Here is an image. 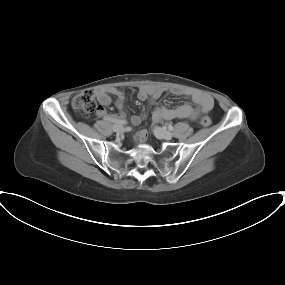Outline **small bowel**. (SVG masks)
Returning a JSON list of instances; mask_svg holds the SVG:
<instances>
[{
  "label": "small bowel",
  "mask_w": 285,
  "mask_h": 285,
  "mask_svg": "<svg viewBox=\"0 0 285 285\" xmlns=\"http://www.w3.org/2000/svg\"><path fill=\"white\" fill-rule=\"evenodd\" d=\"M163 87L155 86H141L137 92V98L140 101H149L150 104L156 103L162 94L165 92ZM95 95L102 105L97 110V115L101 118H105L111 121H117L124 116V101L125 94L123 91L117 88H96L94 90ZM171 93L174 95H188L191 96L196 107H193L190 103H184L177 107H166L159 106L156 107L152 113V118L155 122H160L162 120H172L177 118H184L189 120H195L200 114H206L213 108L214 101L213 98L207 94L201 92H187L179 88L171 89ZM110 94L116 97V107L118 109L117 115L109 114L103 106H107L111 103ZM146 117V113L140 115H135L131 118V123L133 125H139ZM148 134L146 130H140L135 135V140L139 143H143Z\"/></svg>",
  "instance_id": "small-bowel-1"
}]
</instances>
